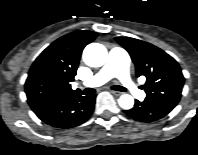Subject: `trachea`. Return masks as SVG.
<instances>
[{"label": "trachea", "mask_w": 198, "mask_h": 155, "mask_svg": "<svg viewBox=\"0 0 198 155\" xmlns=\"http://www.w3.org/2000/svg\"><path fill=\"white\" fill-rule=\"evenodd\" d=\"M111 89L116 90V91H122V92H126L127 91L126 88H124L122 86H119V85H114V86L111 87ZM83 93H84V95H92V94L95 93V89L86 88Z\"/></svg>", "instance_id": "1"}]
</instances>
